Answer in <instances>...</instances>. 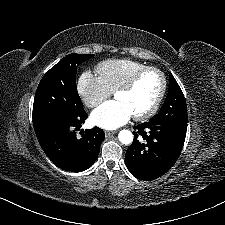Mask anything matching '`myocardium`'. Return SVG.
<instances>
[{
  "label": "myocardium",
  "instance_id": "1",
  "mask_svg": "<svg viewBox=\"0 0 225 225\" xmlns=\"http://www.w3.org/2000/svg\"><path fill=\"white\" fill-rule=\"evenodd\" d=\"M156 72L161 79V86H160V90L158 93L157 98L155 99L154 103L152 104V106L146 110L145 112L138 114V115H133V118L136 121H142V120H146L148 118H150L159 108L165 93H166V88H167V81H166V77L164 75V73L158 69L157 67H153V66H146L140 70H138L136 73H134L130 79L123 84L122 86H120L114 93V95L118 94V93H126L131 91L134 86L136 85V83L138 82V80L147 72Z\"/></svg>",
  "mask_w": 225,
  "mask_h": 225
}]
</instances>
